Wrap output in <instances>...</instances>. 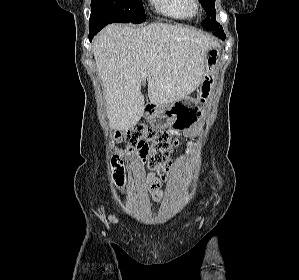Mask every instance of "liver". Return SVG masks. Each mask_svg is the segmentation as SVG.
<instances>
[{
	"mask_svg": "<svg viewBox=\"0 0 299 280\" xmlns=\"http://www.w3.org/2000/svg\"><path fill=\"white\" fill-rule=\"evenodd\" d=\"M218 46L199 31L167 23L104 28L93 42V55L110 128L127 130L139 122L145 79L153 105L170 104L195 91L203 81L207 51Z\"/></svg>",
	"mask_w": 299,
	"mask_h": 280,
	"instance_id": "obj_1",
	"label": "liver"
}]
</instances>
